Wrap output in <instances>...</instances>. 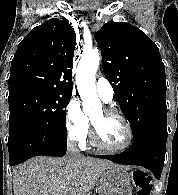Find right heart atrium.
<instances>
[{"label":"right heart atrium","instance_id":"obj_1","mask_svg":"<svg viewBox=\"0 0 178 195\" xmlns=\"http://www.w3.org/2000/svg\"><path fill=\"white\" fill-rule=\"evenodd\" d=\"M65 126L68 137L74 142L84 144L90 136L89 119L76 98H72L66 106Z\"/></svg>","mask_w":178,"mask_h":195}]
</instances>
